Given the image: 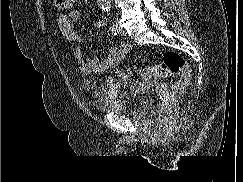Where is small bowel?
Here are the masks:
<instances>
[{"label": "small bowel", "mask_w": 243, "mask_h": 182, "mask_svg": "<svg viewBox=\"0 0 243 182\" xmlns=\"http://www.w3.org/2000/svg\"><path fill=\"white\" fill-rule=\"evenodd\" d=\"M80 19L78 11L70 13H62L58 16V27L62 36L73 44L72 54L78 62V67L83 75L82 87L85 90H94L95 81L90 77L92 74H106V88L103 92L93 91L94 98L102 96L107 99L117 98L121 92H134L140 88V84L132 79L131 73L128 70H119L118 65L120 61L128 53L129 45L121 42L113 46L104 59L97 57H84L81 45L85 43V39L79 35L75 30V22ZM105 22L97 20L95 22L96 28H103Z\"/></svg>", "instance_id": "c3829d8e"}]
</instances>
